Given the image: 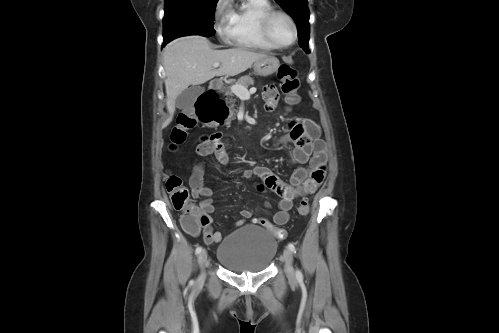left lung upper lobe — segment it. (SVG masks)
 Instances as JSON below:
<instances>
[{
  "label": "left lung upper lobe",
  "mask_w": 499,
  "mask_h": 333,
  "mask_svg": "<svg viewBox=\"0 0 499 333\" xmlns=\"http://www.w3.org/2000/svg\"><path fill=\"white\" fill-rule=\"evenodd\" d=\"M296 22L298 42L309 52V9L307 0H275Z\"/></svg>",
  "instance_id": "obj_1"
}]
</instances>
